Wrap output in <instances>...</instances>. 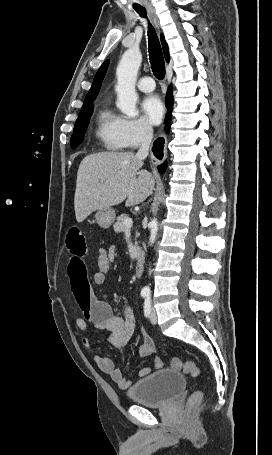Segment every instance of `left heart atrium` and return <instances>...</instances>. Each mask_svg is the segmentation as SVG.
I'll use <instances>...</instances> for the list:
<instances>
[{"mask_svg": "<svg viewBox=\"0 0 272 455\" xmlns=\"http://www.w3.org/2000/svg\"><path fill=\"white\" fill-rule=\"evenodd\" d=\"M142 111L149 123L157 125L161 122L164 114L163 104L155 95L144 98L141 104Z\"/></svg>", "mask_w": 272, "mask_h": 455, "instance_id": "obj_1", "label": "left heart atrium"}]
</instances>
